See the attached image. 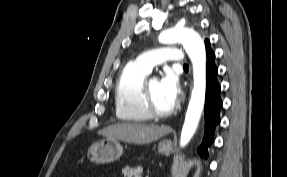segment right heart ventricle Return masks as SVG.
<instances>
[{
  "mask_svg": "<svg viewBox=\"0 0 287 177\" xmlns=\"http://www.w3.org/2000/svg\"><path fill=\"white\" fill-rule=\"evenodd\" d=\"M148 74L133 63L121 72L114 91L115 114L119 121L140 123L150 119L142 103V89Z\"/></svg>",
  "mask_w": 287,
  "mask_h": 177,
  "instance_id": "obj_1",
  "label": "right heart ventricle"
}]
</instances>
